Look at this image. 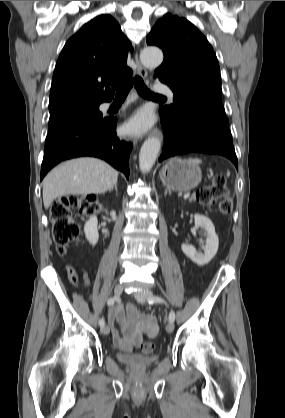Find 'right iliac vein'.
I'll use <instances>...</instances> for the list:
<instances>
[{"label": "right iliac vein", "mask_w": 285, "mask_h": 418, "mask_svg": "<svg viewBox=\"0 0 285 418\" xmlns=\"http://www.w3.org/2000/svg\"><path fill=\"white\" fill-rule=\"evenodd\" d=\"M122 292H123V286H122L121 284H117V285H115V288H114V293H115V295H116V296H120V295L122 294ZM101 332H102L104 335L109 334V332H110V328H109V326H108V325H104V326H102V327H101Z\"/></svg>", "instance_id": "63e3f726"}]
</instances>
